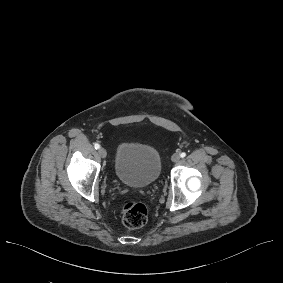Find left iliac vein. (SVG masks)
Returning <instances> with one entry per match:
<instances>
[{
  "mask_svg": "<svg viewBox=\"0 0 283 283\" xmlns=\"http://www.w3.org/2000/svg\"><path fill=\"white\" fill-rule=\"evenodd\" d=\"M171 160L173 162H178L180 160V155L178 153L173 154Z\"/></svg>",
  "mask_w": 283,
  "mask_h": 283,
  "instance_id": "left-iliac-vein-1",
  "label": "left iliac vein"
}]
</instances>
